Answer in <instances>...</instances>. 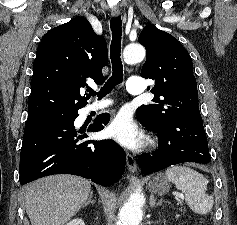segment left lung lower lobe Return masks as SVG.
Here are the masks:
<instances>
[{"mask_svg":"<svg viewBox=\"0 0 237 225\" xmlns=\"http://www.w3.org/2000/svg\"><path fill=\"white\" fill-rule=\"evenodd\" d=\"M159 151L138 157L145 175L183 162L209 163L208 142L199 108H194L156 132Z\"/></svg>","mask_w":237,"mask_h":225,"instance_id":"left-lung-lower-lobe-1","label":"left lung lower lobe"}]
</instances>
